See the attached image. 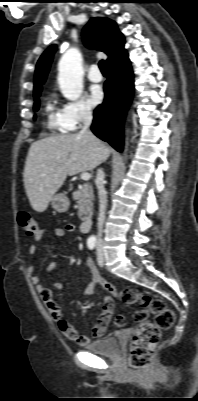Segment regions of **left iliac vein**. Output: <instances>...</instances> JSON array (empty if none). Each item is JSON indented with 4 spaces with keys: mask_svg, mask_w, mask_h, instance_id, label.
<instances>
[{
    "mask_svg": "<svg viewBox=\"0 0 198 401\" xmlns=\"http://www.w3.org/2000/svg\"><path fill=\"white\" fill-rule=\"evenodd\" d=\"M97 262L100 267L104 266V253L101 247L97 250Z\"/></svg>",
    "mask_w": 198,
    "mask_h": 401,
    "instance_id": "left-iliac-vein-1",
    "label": "left iliac vein"
}]
</instances>
